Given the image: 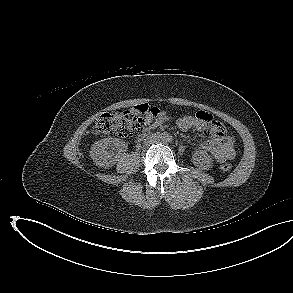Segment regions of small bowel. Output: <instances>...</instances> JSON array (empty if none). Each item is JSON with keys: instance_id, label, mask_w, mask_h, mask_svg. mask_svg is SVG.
I'll return each mask as SVG.
<instances>
[{"instance_id": "small-bowel-1", "label": "small bowel", "mask_w": 293, "mask_h": 293, "mask_svg": "<svg viewBox=\"0 0 293 293\" xmlns=\"http://www.w3.org/2000/svg\"><path fill=\"white\" fill-rule=\"evenodd\" d=\"M135 110L144 115V124L147 128L157 127L168 119L165 111L153 105L140 104L135 107ZM199 113L207 115L209 120L199 117ZM177 126L182 131L191 128L202 131L204 139L200 142L199 148L210 152L217 162H225L235 157L234 139L209 113L199 111L195 116L185 115L177 120Z\"/></svg>"}]
</instances>
